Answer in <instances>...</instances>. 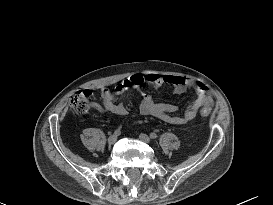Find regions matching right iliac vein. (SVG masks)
Listing matches in <instances>:
<instances>
[{"label":"right iliac vein","instance_id":"obj_1","mask_svg":"<svg viewBox=\"0 0 273 205\" xmlns=\"http://www.w3.org/2000/svg\"><path fill=\"white\" fill-rule=\"evenodd\" d=\"M117 138H118V136H117L116 134L111 135V136L108 138V143H109V144H114V143L117 141Z\"/></svg>","mask_w":273,"mask_h":205}]
</instances>
